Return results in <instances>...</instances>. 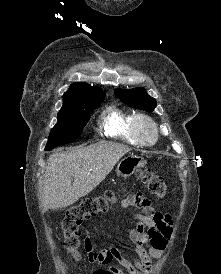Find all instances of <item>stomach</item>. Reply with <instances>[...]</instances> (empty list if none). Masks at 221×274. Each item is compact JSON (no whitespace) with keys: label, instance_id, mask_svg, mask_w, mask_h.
I'll return each mask as SVG.
<instances>
[{"label":"stomach","instance_id":"obj_1","mask_svg":"<svg viewBox=\"0 0 221 274\" xmlns=\"http://www.w3.org/2000/svg\"><path fill=\"white\" fill-rule=\"evenodd\" d=\"M146 160L142 157L131 154L123 158L117 165V175L124 178L131 176L139 168L144 167Z\"/></svg>","mask_w":221,"mask_h":274}]
</instances>
